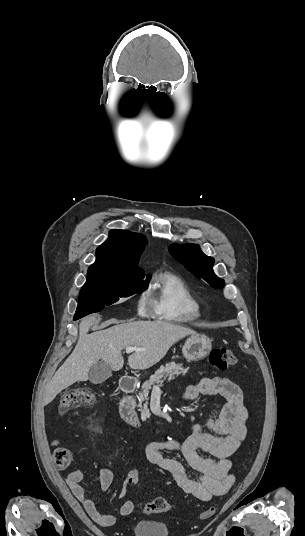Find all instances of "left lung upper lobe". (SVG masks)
Returning a JSON list of instances; mask_svg holds the SVG:
<instances>
[{
	"label": "left lung upper lobe",
	"instance_id": "obj_1",
	"mask_svg": "<svg viewBox=\"0 0 305 536\" xmlns=\"http://www.w3.org/2000/svg\"><path fill=\"white\" fill-rule=\"evenodd\" d=\"M171 255L179 260L191 273L204 279L214 288H222L224 280L218 278L213 272L214 259L206 256L199 245L174 244L169 247Z\"/></svg>",
	"mask_w": 305,
	"mask_h": 536
}]
</instances>
